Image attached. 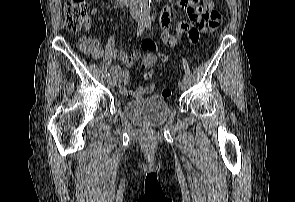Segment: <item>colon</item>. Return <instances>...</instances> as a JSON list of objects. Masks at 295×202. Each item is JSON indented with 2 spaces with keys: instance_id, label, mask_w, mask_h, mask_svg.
Here are the masks:
<instances>
[{
  "instance_id": "1",
  "label": "colon",
  "mask_w": 295,
  "mask_h": 202,
  "mask_svg": "<svg viewBox=\"0 0 295 202\" xmlns=\"http://www.w3.org/2000/svg\"><path fill=\"white\" fill-rule=\"evenodd\" d=\"M64 12L68 31L77 33L87 27V0H66ZM220 18L221 15L217 10L211 11L208 22V28L211 32L218 29ZM81 48L84 51H89L91 46L86 42H81ZM140 60L141 68H145L147 75H156V70H153V68H156L157 65V52H144V56H141ZM156 86V82H147V85H144V90H155ZM160 96L167 99L171 96V91L163 89Z\"/></svg>"
}]
</instances>
